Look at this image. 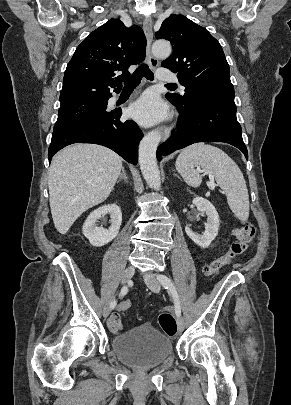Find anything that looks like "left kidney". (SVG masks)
<instances>
[{
    "instance_id": "left-kidney-1",
    "label": "left kidney",
    "mask_w": 291,
    "mask_h": 405,
    "mask_svg": "<svg viewBox=\"0 0 291 405\" xmlns=\"http://www.w3.org/2000/svg\"><path fill=\"white\" fill-rule=\"evenodd\" d=\"M192 203L200 212L205 213L207 216L205 232L203 235H199L193 232L188 225L185 227V232L194 243L202 248H206L218 235L219 216L213 204L205 198L195 197Z\"/></svg>"
}]
</instances>
